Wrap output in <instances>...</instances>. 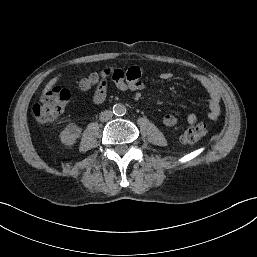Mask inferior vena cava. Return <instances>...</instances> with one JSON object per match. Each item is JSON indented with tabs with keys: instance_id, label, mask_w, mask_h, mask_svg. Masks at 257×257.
Segmentation results:
<instances>
[{
	"instance_id": "inferior-vena-cava-1",
	"label": "inferior vena cava",
	"mask_w": 257,
	"mask_h": 257,
	"mask_svg": "<svg viewBox=\"0 0 257 257\" xmlns=\"http://www.w3.org/2000/svg\"><path fill=\"white\" fill-rule=\"evenodd\" d=\"M112 116H113L112 111L105 110V111L100 113V120L103 121V122L104 121H108V120H110L112 118Z\"/></svg>"
}]
</instances>
